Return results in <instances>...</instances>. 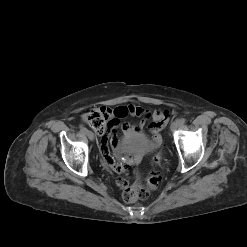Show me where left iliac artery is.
I'll list each match as a JSON object with an SVG mask.
<instances>
[{"label":"left iliac artery","instance_id":"left-iliac-artery-1","mask_svg":"<svg viewBox=\"0 0 247 247\" xmlns=\"http://www.w3.org/2000/svg\"><path fill=\"white\" fill-rule=\"evenodd\" d=\"M178 122H179L180 125H183L185 123V120L183 118H181V119L178 120Z\"/></svg>","mask_w":247,"mask_h":247}]
</instances>
